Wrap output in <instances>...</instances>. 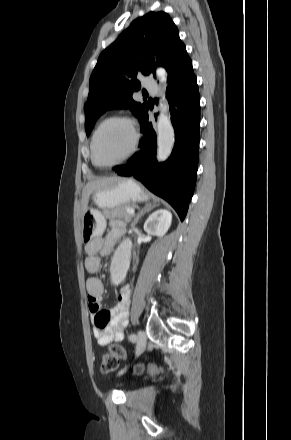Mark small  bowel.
<instances>
[{"instance_id": "c3829d8e", "label": "small bowel", "mask_w": 291, "mask_h": 440, "mask_svg": "<svg viewBox=\"0 0 291 440\" xmlns=\"http://www.w3.org/2000/svg\"><path fill=\"white\" fill-rule=\"evenodd\" d=\"M125 227L115 222L110 231L104 237H98L86 246L87 257L85 267L89 272L95 273L100 269L102 256L108 255L116 243L124 236ZM86 290L89 300V312L92 315L94 337L100 346H106L112 341H120L123 337V326L127 322L129 306L131 303V290L128 284L122 286L118 292V303L110 310H102L100 301L104 291L101 280L97 277H89L86 280ZM108 316L109 324L102 325L101 318ZM152 370L160 369L159 365L151 367Z\"/></svg>"}]
</instances>
